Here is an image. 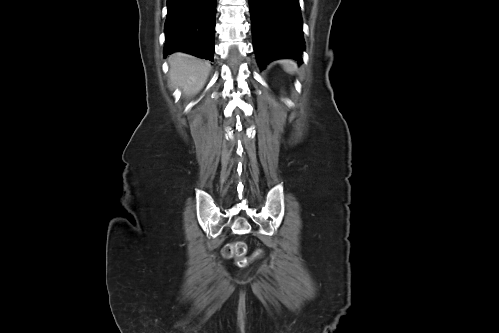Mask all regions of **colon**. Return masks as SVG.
Returning <instances> with one entry per match:
<instances>
[{
	"label": "colon",
	"mask_w": 499,
	"mask_h": 333,
	"mask_svg": "<svg viewBox=\"0 0 499 333\" xmlns=\"http://www.w3.org/2000/svg\"><path fill=\"white\" fill-rule=\"evenodd\" d=\"M246 251V244L242 241H236L227 244L223 249V254L227 258H234L239 267H245L249 264Z\"/></svg>",
	"instance_id": "5ec220e1"
}]
</instances>
